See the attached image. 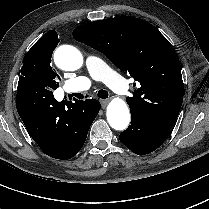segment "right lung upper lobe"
I'll use <instances>...</instances> for the list:
<instances>
[{"mask_svg":"<svg viewBox=\"0 0 209 209\" xmlns=\"http://www.w3.org/2000/svg\"><path fill=\"white\" fill-rule=\"evenodd\" d=\"M44 41L52 42L57 46L59 40L56 31L50 30L49 32L44 34L37 42H44ZM72 108L73 110L70 111V113L72 116V120L74 122L83 121L87 116V114L89 113L88 106L84 102H75Z\"/></svg>","mask_w":209,"mask_h":209,"instance_id":"obj_1","label":"right lung upper lobe"}]
</instances>
